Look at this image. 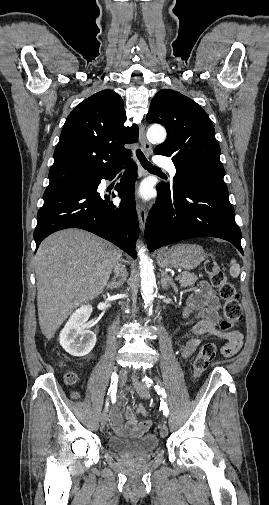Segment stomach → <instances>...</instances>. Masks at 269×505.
Masks as SVG:
<instances>
[{
  "label": "stomach",
  "mask_w": 269,
  "mask_h": 505,
  "mask_svg": "<svg viewBox=\"0 0 269 505\" xmlns=\"http://www.w3.org/2000/svg\"><path fill=\"white\" fill-rule=\"evenodd\" d=\"M207 257L205 250L195 244H177L157 253V263L160 267L181 268L192 270Z\"/></svg>",
  "instance_id": "1"
}]
</instances>
